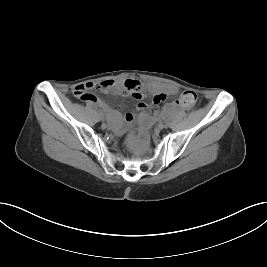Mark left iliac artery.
Listing matches in <instances>:
<instances>
[{
	"label": "left iliac artery",
	"mask_w": 267,
	"mask_h": 267,
	"mask_svg": "<svg viewBox=\"0 0 267 267\" xmlns=\"http://www.w3.org/2000/svg\"><path fill=\"white\" fill-rule=\"evenodd\" d=\"M163 121H164L165 123H169V122L171 121V118H170V117H164V118H163Z\"/></svg>",
	"instance_id": "left-iliac-artery-1"
}]
</instances>
